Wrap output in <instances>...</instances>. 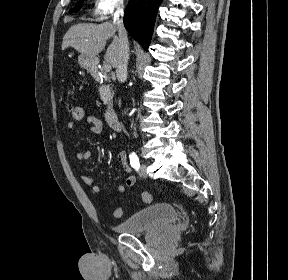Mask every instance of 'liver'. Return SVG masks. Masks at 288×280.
<instances>
[{
	"label": "liver",
	"instance_id": "liver-1",
	"mask_svg": "<svg viewBox=\"0 0 288 280\" xmlns=\"http://www.w3.org/2000/svg\"><path fill=\"white\" fill-rule=\"evenodd\" d=\"M116 31V26L110 22L73 25L63 37L62 50L73 47L81 54L95 57L104 49L106 41L113 38L104 58L112 67H116L120 47L119 37L115 35Z\"/></svg>",
	"mask_w": 288,
	"mask_h": 280
}]
</instances>
